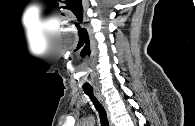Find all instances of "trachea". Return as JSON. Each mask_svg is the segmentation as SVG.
Here are the masks:
<instances>
[{"label": "trachea", "instance_id": "obj_1", "mask_svg": "<svg viewBox=\"0 0 195 126\" xmlns=\"http://www.w3.org/2000/svg\"><path fill=\"white\" fill-rule=\"evenodd\" d=\"M85 94H87L92 100L96 110L99 112L100 121L102 126H108L107 115L103 106L94 98L92 88H83Z\"/></svg>", "mask_w": 195, "mask_h": 126}]
</instances>
